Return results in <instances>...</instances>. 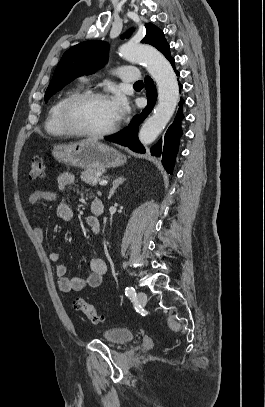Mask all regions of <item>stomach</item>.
Instances as JSON below:
<instances>
[{
	"instance_id": "0dacf381",
	"label": "stomach",
	"mask_w": 265,
	"mask_h": 407,
	"mask_svg": "<svg viewBox=\"0 0 265 407\" xmlns=\"http://www.w3.org/2000/svg\"><path fill=\"white\" fill-rule=\"evenodd\" d=\"M53 157L59 162L84 169H105L123 165L127 158L119 151L98 141L56 145Z\"/></svg>"
}]
</instances>
